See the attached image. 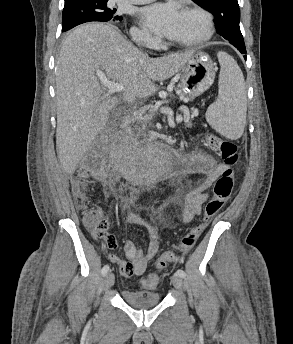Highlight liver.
<instances>
[{"label":"liver","mask_w":293,"mask_h":344,"mask_svg":"<svg viewBox=\"0 0 293 344\" xmlns=\"http://www.w3.org/2000/svg\"><path fill=\"white\" fill-rule=\"evenodd\" d=\"M193 54L149 58L107 24L73 30L62 43L56 69V149L63 171H75L121 98L133 102L152 95L157 90L154 82L175 75ZM100 73L124 86L122 96L105 93Z\"/></svg>","instance_id":"liver-1"}]
</instances>
